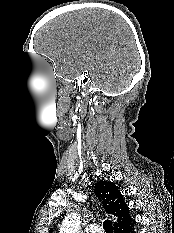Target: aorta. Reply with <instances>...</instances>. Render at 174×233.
Segmentation results:
<instances>
[{"label":"aorta","mask_w":174,"mask_h":233,"mask_svg":"<svg viewBox=\"0 0 174 233\" xmlns=\"http://www.w3.org/2000/svg\"><path fill=\"white\" fill-rule=\"evenodd\" d=\"M80 216L77 213L68 214L60 226V233H79Z\"/></svg>","instance_id":"762f6f07"}]
</instances>
